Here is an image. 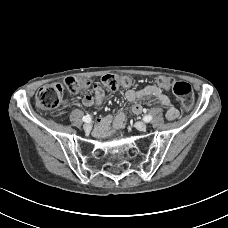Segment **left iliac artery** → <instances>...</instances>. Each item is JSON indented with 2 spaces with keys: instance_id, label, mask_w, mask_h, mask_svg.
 Instances as JSON below:
<instances>
[{
  "instance_id": "44dca946",
  "label": "left iliac artery",
  "mask_w": 228,
  "mask_h": 228,
  "mask_svg": "<svg viewBox=\"0 0 228 228\" xmlns=\"http://www.w3.org/2000/svg\"><path fill=\"white\" fill-rule=\"evenodd\" d=\"M143 120H144L145 122H150V121L152 120V116L146 115V116H144Z\"/></svg>"
}]
</instances>
